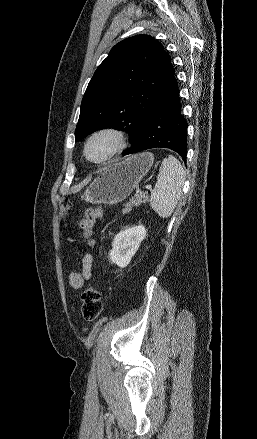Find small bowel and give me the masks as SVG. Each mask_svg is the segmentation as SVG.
Here are the masks:
<instances>
[{
	"label": "small bowel",
	"instance_id": "1",
	"mask_svg": "<svg viewBox=\"0 0 257 439\" xmlns=\"http://www.w3.org/2000/svg\"><path fill=\"white\" fill-rule=\"evenodd\" d=\"M92 261H93L92 255L89 253H86L82 258V270H81L83 277L82 285L91 278Z\"/></svg>",
	"mask_w": 257,
	"mask_h": 439
}]
</instances>
